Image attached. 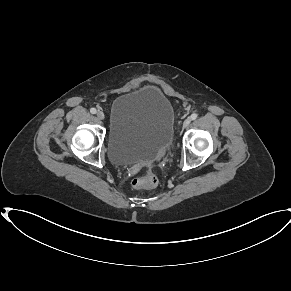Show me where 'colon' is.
<instances>
[{
    "instance_id": "1",
    "label": "colon",
    "mask_w": 291,
    "mask_h": 291,
    "mask_svg": "<svg viewBox=\"0 0 291 291\" xmlns=\"http://www.w3.org/2000/svg\"><path fill=\"white\" fill-rule=\"evenodd\" d=\"M164 154H165L164 152H161L158 155V160L162 159L164 157ZM157 183H158V179L156 175L153 174L152 172H149L143 177L135 178L132 181V186L135 189L152 188V187H155Z\"/></svg>"
}]
</instances>
